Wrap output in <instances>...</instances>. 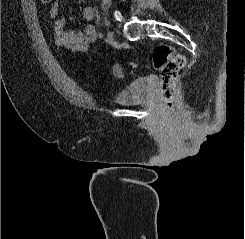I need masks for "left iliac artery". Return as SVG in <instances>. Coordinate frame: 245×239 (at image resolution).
Here are the masks:
<instances>
[{
	"instance_id": "44dca946",
	"label": "left iliac artery",
	"mask_w": 245,
	"mask_h": 239,
	"mask_svg": "<svg viewBox=\"0 0 245 239\" xmlns=\"http://www.w3.org/2000/svg\"><path fill=\"white\" fill-rule=\"evenodd\" d=\"M98 36H99L100 39H102L104 37L103 32H99Z\"/></svg>"
}]
</instances>
